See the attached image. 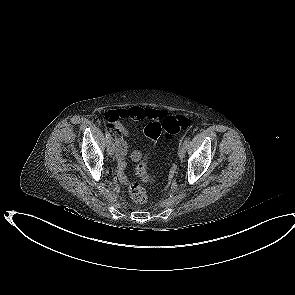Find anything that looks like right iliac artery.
<instances>
[{"mask_svg": "<svg viewBox=\"0 0 295 295\" xmlns=\"http://www.w3.org/2000/svg\"><path fill=\"white\" fill-rule=\"evenodd\" d=\"M106 138L109 139V140L112 138L108 131H106Z\"/></svg>", "mask_w": 295, "mask_h": 295, "instance_id": "right-iliac-artery-1", "label": "right iliac artery"}]
</instances>
